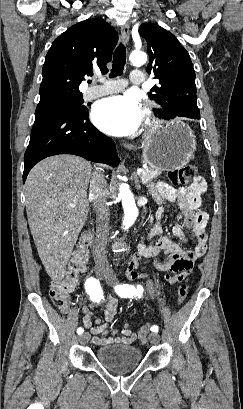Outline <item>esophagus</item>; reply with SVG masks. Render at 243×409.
Here are the masks:
<instances>
[{
    "mask_svg": "<svg viewBox=\"0 0 243 409\" xmlns=\"http://www.w3.org/2000/svg\"><path fill=\"white\" fill-rule=\"evenodd\" d=\"M121 35H122V38H123L124 43L127 44L128 41H129V37H130V29H129V25H128V24H124V25L121 27ZM121 145H122L124 148H127V149H131V148L134 147L133 145H131V144H129V143H126V142L121 143Z\"/></svg>",
    "mask_w": 243,
    "mask_h": 409,
    "instance_id": "1",
    "label": "esophagus"
}]
</instances>
